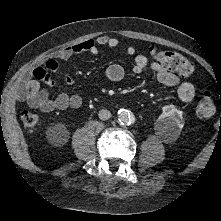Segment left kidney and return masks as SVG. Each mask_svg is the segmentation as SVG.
<instances>
[{
	"label": "left kidney",
	"instance_id": "1",
	"mask_svg": "<svg viewBox=\"0 0 221 221\" xmlns=\"http://www.w3.org/2000/svg\"><path fill=\"white\" fill-rule=\"evenodd\" d=\"M162 110V114L157 119L158 130L167 137L178 136L184 126L183 112L174 105H166Z\"/></svg>",
	"mask_w": 221,
	"mask_h": 221
}]
</instances>
